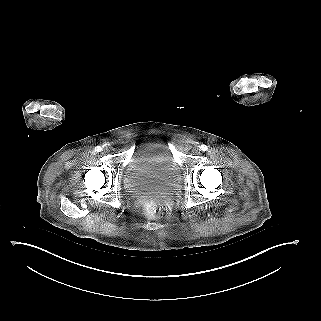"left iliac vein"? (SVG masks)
Listing matches in <instances>:
<instances>
[{
	"instance_id": "4c4485c4",
	"label": "left iliac vein",
	"mask_w": 321,
	"mask_h": 321,
	"mask_svg": "<svg viewBox=\"0 0 321 321\" xmlns=\"http://www.w3.org/2000/svg\"><path fill=\"white\" fill-rule=\"evenodd\" d=\"M194 152L197 153V152H198V149H195Z\"/></svg>"
}]
</instances>
